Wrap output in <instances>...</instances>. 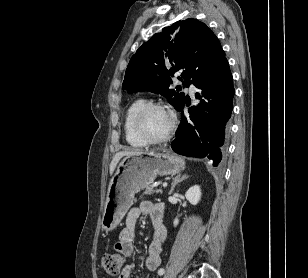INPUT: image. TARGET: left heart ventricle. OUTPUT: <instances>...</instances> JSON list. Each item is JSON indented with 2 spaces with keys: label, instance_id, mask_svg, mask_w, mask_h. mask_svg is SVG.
I'll return each instance as SVG.
<instances>
[{
  "label": "left heart ventricle",
  "instance_id": "1",
  "mask_svg": "<svg viewBox=\"0 0 308 278\" xmlns=\"http://www.w3.org/2000/svg\"><path fill=\"white\" fill-rule=\"evenodd\" d=\"M143 125L152 137H162L169 129L170 116L165 110L153 109L145 115Z\"/></svg>",
  "mask_w": 308,
  "mask_h": 278
}]
</instances>
